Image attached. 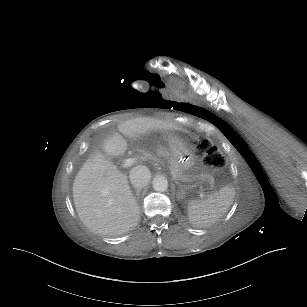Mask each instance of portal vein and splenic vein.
<instances>
[{"instance_id":"portal-vein-and-splenic-vein-1","label":"portal vein and splenic vein","mask_w":307,"mask_h":307,"mask_svg":"<svg viewBox=\"0 0 307 307\" xmlns=\"http://www.w3.org/2000/svg\"><path fill=\"white\" fill-rule=\"evenodd\" d=\"M138 161V158L136 157V156H133V157H129L128 159H126V161H125V164H126V166H128V167H131V166H133V164L134 163H136ZM196 189L198 190V192L200 193V197L202 198V199H204L206 196H205V193L203 192V190H202V186L200 185H198L197 187H196Z\"/></svg>"}]
</instances>
